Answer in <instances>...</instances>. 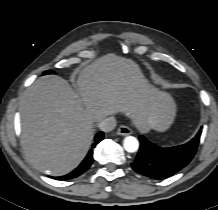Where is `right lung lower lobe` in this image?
<instances>
[{"label": "right lung lower lobe", "instance_id": "right-lung-lower-lobe-1", "mask_svg": "<svg viewBox=\"0 0 218 210\" xmlns=\"http://www.w3.org/2000/svg\"><path fill=\"white\" fill-rule=\"evenodd\" d=\"M103 136H104L103 132H99L95 135L93 148H95V146L103 139ZM92 162H93V149L89 151L88 155L85 157L82 163L75 170L59 178H61L62 180L76 178L80 176L81 174H83L85 171H87V169L91 166Z\"/></svg>", "mask_w": 218, "mask_h": 210}]
</instances>
